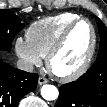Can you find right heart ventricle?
Listing matches in <instances>:
<instances>
[{
  "label": "right heart ventricle",
  "instance_id": "e07e8e85",
  "mask_svg": "<svg viewBox=\"0 0 107 107\" xmlns=\"http://www.w3.org/2000/svg\"><path fill=\"white\" fill-rule=\"evenodd\" d=\"M78 18L74 13H61L35 21L28 27L26 39L42 57H46L63 30Z\"/></svg>",
  "mask_w": 107,
  "mask_h": 107
}]
</instances>
